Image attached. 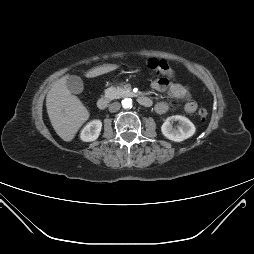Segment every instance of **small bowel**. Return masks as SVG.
Returning a JSON list of instances; mask_svg holds the SVG:
<instances>
[{"instance_id":"small-bowel-1","label":"small bowel","mask_w":254,"mask_h":254,"mask_svg":"<svg viewBox=\"0 0 254 254\" xmlns=\"http://www.w3.org/2000/svg\"><path fill=\"white\" fill-rule=\"evenodd\" d=\"M151 87L159 92H166L168 95L174 99L186 100L184 105V110L187 113H193L197 109V103L190 99V91L186 85L181 83H174L168 78H158L151 82ZM169 106L166 102H158L155 105V111L158 114H164L168 111Z\"/></svg>"}]
</instances>
